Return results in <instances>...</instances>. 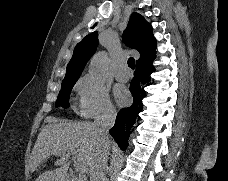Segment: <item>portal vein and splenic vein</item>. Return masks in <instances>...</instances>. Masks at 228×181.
Segmentation results:
<instances>
[{"label": "portal vein and splenic vein", "instance_id": "obj_1", "mask_svg": "<svg viewBox=\"0 0 228 181\" xmlns=\"http://www.w3.org/2000/svg\"><path fill=\"white\" fill-rule=\"evenodd\" d=\"M67 155H73V157H76L78 151H67ZM78 173L79 177H85L86 173H88L87 165H78Z\"/></svg>", "mask_w": 228, "mask_h": 181}]
</instances>
